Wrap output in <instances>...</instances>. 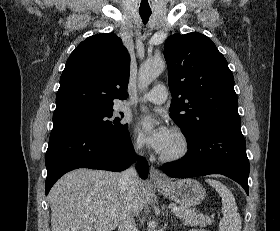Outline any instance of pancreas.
Masks as SVG:
<instances>
[{"label": "pancreas", "mask_w": 280, "mask_h": 231, "mask_svg": "<svg viewBox=\"0 0 280 231\" xmlns=\"http://www.w3.org/2000/svg\"><path fill=\"white\" fill-rule=\"evenodd\" d=\"M173 205H176V203H173ZM176 207H179L176 215L177 217H182L184 225H200V227H205V225L213 223L211 217L197 213L195 209H190V207H185V205H176Z\"/></svg>", "instance_id": "1"}]
</instances>
